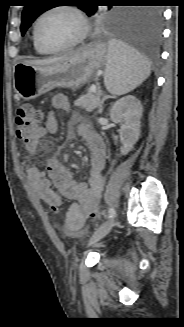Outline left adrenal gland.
<instances>
[{
    "label": "left adrenal gland",
    "mask_w": 184,
    "mask_h": 327,
    "mask_svg": "<svg viewBox=\"0 0 184 327\" xmlns=\"http://www.w3.org/2000/svg\"><path fill=\"white\" fill-rule=\"evenodd\" d=\"M108 98V96H104L100 102V107H99V113H102L103 111V104H104V101Z\"/></svg>",
    "instance_id": "a2214340"
}]
</instances>
